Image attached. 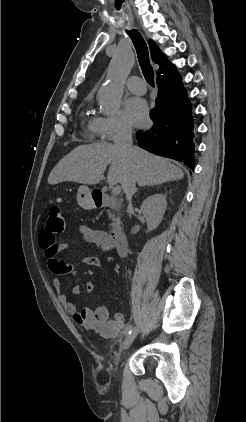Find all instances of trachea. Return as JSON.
I'll return each mask as SVG.
<instances>
[{
  "instance_id": "3493384b",
  "label": "trachea",
  "mask_w": 246,
  "mask_h": 422,
  "mask_svg": "<svg viewBox=\"0 0 246 422\" xmlns=\"http://www.w3.org/2000/svg\"><path fill=\"white\" fill-rule=\"evenodd\" d=\"M127 33L130 36L134 44V47L136 49L138 62L142 69L143 75L147 83L150 86L154 87V72H153L152 66L150 65L149 53H148L146 42L144 41L141 34L136 30H131Z\"/></svg>"
}]
</instances>
